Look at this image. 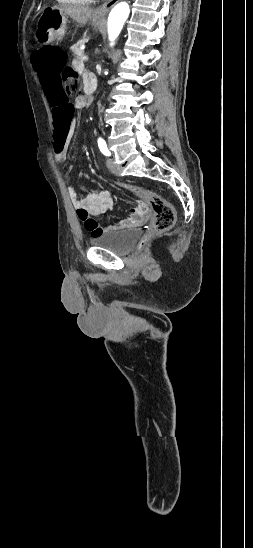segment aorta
I'll list each match as a JSON object with an SVG mask.
<instances>
[{
	"mask_svg": "<svg viewBox=\"0 0 253 548\" xmlns=\"http://www.w3.org/2000/svg\"><path fill=\"white\" fill-rule=\"evenodd\" d=\"M130 13L129 5L126 2H120L116 4L111 10L108 17V37L111 42V46L119 36L125 21Z\"/></svg>",
	"mask_w": 253,
	"mask_h": 548,
	"instance_id": "obj_1",
	"label": "aorta"
}]
</instances>
